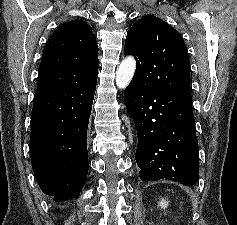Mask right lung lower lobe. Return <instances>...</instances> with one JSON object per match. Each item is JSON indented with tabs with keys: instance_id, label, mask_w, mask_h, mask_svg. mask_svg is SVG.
Wrapping results in <instances>:
<instances>
[{
	"instance_id": "1",
	"label": "right lung lower lobe",
	"mask_w": 237,
	"mask_h": 225,
	"mask_svg": "<svg viewBox=\"0 0 237 225\" xmlns=\"http://www.w3.org/2000/svg\"><path fill=\"white\" fill-rule=\"evenodd\" d=\"M97 79L62 94L34 97L30 151L41 190L78 198L88 173L87 128Z\"/></svg>"
}]
</instances>
